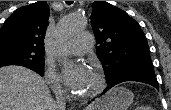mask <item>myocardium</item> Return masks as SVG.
<instances>
[{"instance_id": "f54148a6", "label": "myocardium", "mask_w": 171, "mask_h": 110, "mask_svg": "<svg viewBox=\"0 0 171 110\" xmlns=\"http://www.w3.org/2000/svg\"><path fill=\"white\" fill-rule=\"evenodd\" d=\"M92 72L97 77V86H96V88L92 92H90L88 94H85V95L74 94L73 96H74V98L76 100H79V101L92 100V99L98 97L104 91V89L106 87L105 75L99 69H93Z\"/></svg>"}]
</instances>
